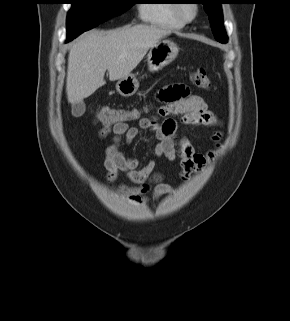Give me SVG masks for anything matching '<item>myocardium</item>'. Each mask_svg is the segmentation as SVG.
I'll return each mask as SVG.
<instances>
[{
    "label": "myocardium",
    "instance_id": "myocardium-1",
    "mask_svg": "<svg viewBox=\"0 0 290 321\" xmlns=\"http://www.w3.org/2000/svg\"><path fill=\"white\" fill-rule=\"evenodd\" d=\"M186 6H190L193 9V14L191 16H187L185 14L184 8ZM175 14L184 24L191 23L197 18L199 14V5L197 3H175Z\"/></svg>",
    "mask_w": 290,
    "mask_h": 321
}]
</instances>
